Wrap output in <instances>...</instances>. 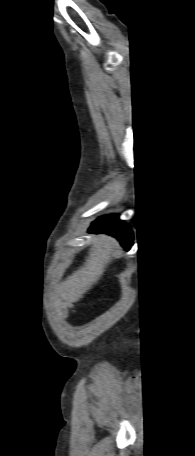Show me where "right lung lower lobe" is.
I'll return each instance as SVG.
<instances>
[{
	"mask_svg": "<svg viewBox=\"0 0 195 456\" xmlns=\"http://www.w3.org/2000/svg\"><path fill=\"white\" fill-rule=\"evenodd\" d=\"M90 232L106 233L116 237L127 250L132 246V231L117 215L101 217L90 227Z\"/></svg>",
	"mask_w": 195,
	"mask_h": 456,
	"instance_id": "1",
	"label": "right lung lower lobe"
}]
</instances>
